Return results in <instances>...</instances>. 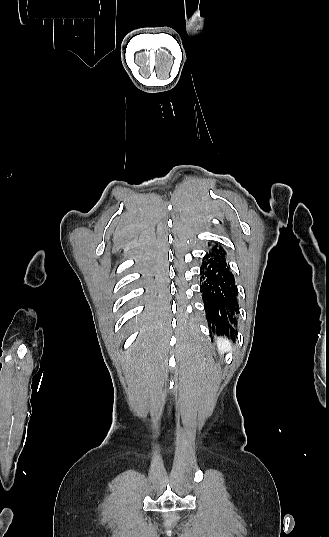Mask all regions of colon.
Wrapping results in <instances>:
<instances>
[{
	"instance_id": "obj_1",
	"label": "colon",
	"mask_w": 329,
	"mask_h": 537,
	"mask_svg": "<svg viewBox=\"0 0 329 537\" xmlns=\"http://www.w3.org/2000/svg\"><path fill=\"white\" fill-rule=\"evenodd\" d=\"M180 516V513L178 510L176 509H172V510H164L162 512V517L164 519H169L168 520V524L172 525L174 524V520L178 519Z\"/></svg>"
}]
</instances>
